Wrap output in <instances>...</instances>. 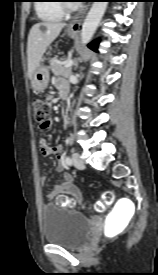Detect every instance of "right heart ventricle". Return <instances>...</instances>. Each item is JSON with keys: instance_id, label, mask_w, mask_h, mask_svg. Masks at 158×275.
Returning <instances> with one entry per match:
<instances>
[{"instance_id": "right-heart-ventricle-1", "label": "right heart ventricle", "mask_w": 158, "mask_h": 275, "mask_svg": "<svg viewBox=\"0 0 158 275\" xmlns=\"http://www.w3.org/2000/svg\"><path fill=\"white\" fill-rule=\"evenodd\" d=\"M60 0H41L36 4L37 15L45 21H59L63 19L65 11Z\"/></svg>"}]
</instances>
